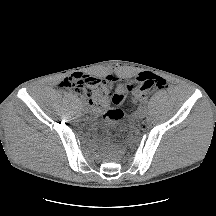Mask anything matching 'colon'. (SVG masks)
Segmentation results:
<instances>
[{"instance_id": "colon-1", "label": "colon", "mask_w": 216, "mask_h": 216, "mask_svg": "<svg viewBox=\"0 0 216 216\" xmlns=\"http://www.w3.org/2000/svg\"><path fill=\"white\" fill-rule=\"evenodd\" d=\"M74 93L87 98L96 111L102 112V124L105 128L118 124L124 116L121 108L127 94H133V102L145 100L153 88L164 89L166 81L156 75L143 73L136 85L119 83L112 93L107 78L82 75L69 77L62 83ZM112 104L109 106V104Z\"/></svg>"}]
</instances>
